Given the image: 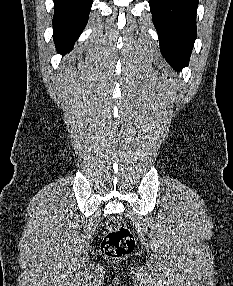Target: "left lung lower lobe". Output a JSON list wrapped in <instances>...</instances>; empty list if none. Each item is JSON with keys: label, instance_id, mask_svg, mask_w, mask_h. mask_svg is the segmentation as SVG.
<instances>
[{"label": "left lung lower lobe", "instance_id": "1", "mask_svg": "<svg viewBox=\"0 0 233 286\" xmlns=\"http://www.w3.org/2000/svg\"><path fill=\"white\" fill-rule=\"evenodd\" d=\"M199 0H149L161 53L176 70L188 65L196 39Z\"/></svg>", "mask_w": 233, "mask_h": 286}]
</instances>
